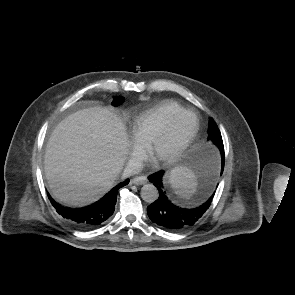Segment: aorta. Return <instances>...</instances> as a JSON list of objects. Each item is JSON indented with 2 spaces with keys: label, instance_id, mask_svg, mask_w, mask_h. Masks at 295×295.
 Returning <instances> with one entry per match:
<instances>
[{
  "label": "aorta",
  "instance_id": "1",
  "mask_svg": "<svg viewBox=\"0 0 295 295\" xmlns=\"http://www.w3.org/2000/svg\"><path fill=\"white\" fill-rule=\"evenodd\" d=\"M159 197L158 189L153 184H145L141 188V198L147 203L155 202Z\"/></svg>",
  "mask_w": 295,
  "mask_h": 295
}]
</instances>
